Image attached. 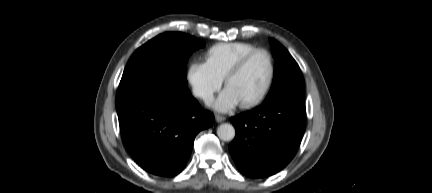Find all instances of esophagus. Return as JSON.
Wrapping results in <instances>:
<instances>
[{"label":"esophagus","instance_id":"esophagus-1","mask_svg":"<svg viewBox=\"0 0 432 193\" xmlns=\"http://www.w3.org/2000/svg\"><path fill=\"white\" fill-rule=\"evenodd\" d=\"M215 119H216L217 122H223V121L226 120V117H224L222 115H219V114H216L215 115Z\"/></svg>","mask_w":432,"mask_h":193}]
</instances>
